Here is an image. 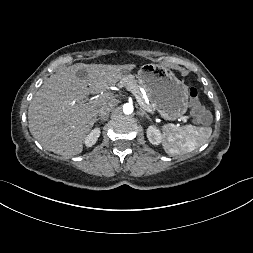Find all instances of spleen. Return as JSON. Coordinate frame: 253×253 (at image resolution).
<instances>
[{"label": "spleen", "mask_w": 253, "mask_h": 253, "mask_svg": "<svg viewBox=\"0 0 253 253\" xmlns=\"http://www.w3.org/2000/svg\"><path fill=\"white\" fill-rule=\"evenodd\" d=\"M163 130V148L170 155H181L192 152L196 148L208 142L211 127H199L185 125L178 127L174 124H166Z\"/></svg>", "instance_id": "3e777b00"}]
</instances>
